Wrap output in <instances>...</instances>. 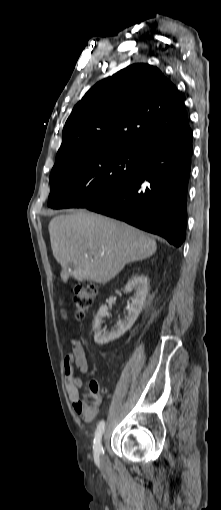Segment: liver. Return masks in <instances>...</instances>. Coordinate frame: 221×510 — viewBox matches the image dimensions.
Instances as JSON below:
<instances>
[{
	"label": "liver",
	"mask_w": 221,
	"mask_h": 510,
	"mask_svg": "<svg viewBox=\"0 0 221 510\" xmlns=\"http://www.w3.org/2000/svg\"><path fill=\"white\" fill-rule=\"evenodd\" d=\"M49 234L65 283L72 276L78 282L105 284L126 264L144 260L157 249L156 241L142 231L87 211L54 217Z\"/></svg>",
	"instance_id": "6515ba94"
}]
</instances>
